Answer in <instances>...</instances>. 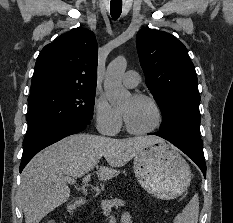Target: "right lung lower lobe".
<instances>
[{
	"instance_id": "98d812e1",
	"label": "right lung lower lobe",
	"mask_w": 233,
	"mask_h": 223,
	"mask_svg": "<svg viewBox=\"0 0 233 223\" xmlns=\"http://www.w3.org/2000/svg\"><path fill=\"white\" fill-rule=\"evenodd\" d=\"M90 121L91 119L87 118L68 120L59 126L47 131L46 133L34 139L28 145L24 146L23 157L20 164V172L39 151L66 136L79 133L90 124Z\"/></svg>"
}]
</instances>
